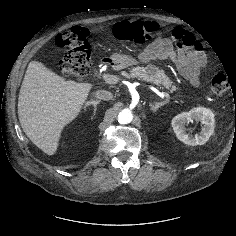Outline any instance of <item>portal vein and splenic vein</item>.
<instances>
[{"label":"portal vein and splenic vein","mask_w":236,"mask_h":236,"mask_svg":"<svg viewBox=\"0 0 236 236\" xmlns=\"http://www.w3.org/2000/svg\"><path fill=\"white\" fill-rule=\"evenodd\" d=\"M102 78L105 82L107 83H110V84H116L118 81H119V78L115 75H110V74H107V73H104L102 75ZM162 95L166 98H169V94L166 93V92H163Z\"/></svg>","instance_id":"1"}]
</instances>
